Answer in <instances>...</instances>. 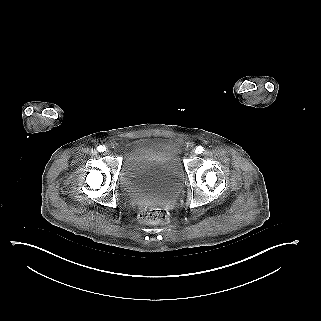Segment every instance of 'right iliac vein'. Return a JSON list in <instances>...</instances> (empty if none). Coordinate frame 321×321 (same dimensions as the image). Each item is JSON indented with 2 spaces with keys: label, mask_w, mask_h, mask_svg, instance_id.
<instances>
[{
  "label": "right iliac vein",
  "mask_w": 321,
  "mask_h": 321,
  "mask_svg": "<svg viewBox=\"0 0 321 321\" xmlns=\"http://www.w3.org/2000/svg\"><path fill=\"white\" fill-rule=\"evenodd\" d=\"M105 154L108 155L110 154V151L108 149L105 150Z\"/></svg>",
  "instance_id": "63e3f726"
}]
</instances>
